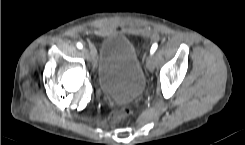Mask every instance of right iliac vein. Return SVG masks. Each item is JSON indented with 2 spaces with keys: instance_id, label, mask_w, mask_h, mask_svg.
<instances>
[{
  "instance_id": "1",
  "label": "right iliac vein",
  "mask_w": 245,
  "mask_h": 145,
  "mask_svg": "<svg viewBox=\"0 0 245 145\" xmlns=\"http://www.w3.org/2000/svg\"><path fill=\"white\" fill-rule=\"evenodd\" d=\"M82 52H83L87 57H90V52H89L87 49L83 48V49H82Z\"/></svg>"
}]
</instances>
